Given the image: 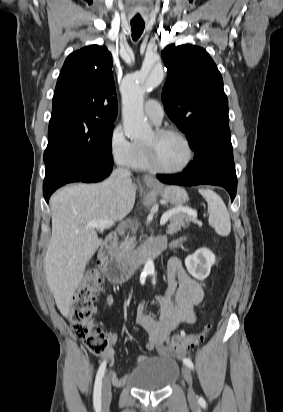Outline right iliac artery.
Here are the masks:
<instances>
[{"label":"right iliac artery","mask_w":283,"mask_h":412,"mask_svg":"<svg viewBox=\"0 0 283 412\" xmlns=\"http://www.w3.org/2000/svg\"><path fill=\"white\" fill-rule=\"evenodd\" d=\"M146 275L141 277V283L145 282ZM106 369V361L104 360L99 367V370L96 375L95 385H94V394H93V403L94 408L97 412L101 409V388H102V378L104 376Z\"/></svg>","instance_id":"right-iliac-artery-1"}]
</instances>
